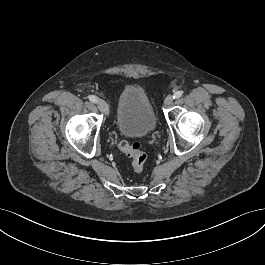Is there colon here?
Segmentation results:
<instances>
[{"instance_id":"colon-1","label":"colon","mask_w":265,"mask_h":265,"mask_svg":"<svg viewBox=\"0 0 265 265\" xmlns=\"http://www.w3.org/2000/svg\"><path fill=\"white\" fill-rule=\"evenodd\" d=\"M118 148L130 158L133 171L136 174H141L145 169L147 154L141 149L140 144L138 142L121 141Z\"/></svg>"}]
</instances>
